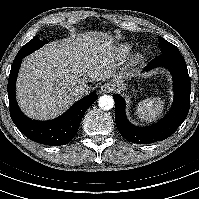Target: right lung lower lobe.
<instances>
[{
	"label": "right lung lower lobe",
	"instance_id": "obj_1",
	"mask_svg": "<svg viewBox=\"0 0 199 199\" xmlns=\"http://www.w3.org/2000/svg\"><path fill=\"white\" fill-rule=\"evenodd\" d=\"M16 56L8 79V98L10 116L17 128L29 139L50 146L65 145L76 135L81 120L98 96L96 92L82 98L62 116L49 121H36L26 117L20 110L15 98V84L22 59Z\"/></svg>",
	"mask_w": 199,
	"mask_h": 199
}]
</instances>
